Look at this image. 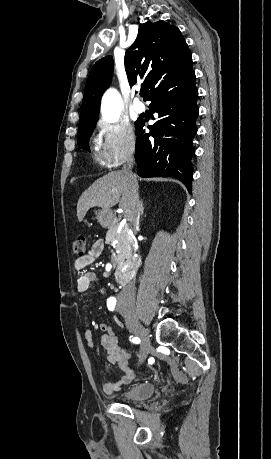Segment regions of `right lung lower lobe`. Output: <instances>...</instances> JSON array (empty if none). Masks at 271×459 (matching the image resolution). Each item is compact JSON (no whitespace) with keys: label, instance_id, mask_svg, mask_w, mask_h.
<instances>
[{"label":"right lung lower lobe","instance_id":"1","mask_svg":"<svg viewBox=\"0 0 271 459\" xmlns=\"http://www.w3.org/2000/svg\"><path fill=\"white\" fill-rule=\"evenodd\" d=\"M192 70L179 78H171L148 98L150 110L157 112L159 119L150 132L145 133L144 120L136 127L137 141L135 159L141 177H174L191 191L193 167L191 158L195 154L193 138L197 133L196 105L198 90ZM152 136V139L149 137Z\"/></svg>","mask_w":271,"mask_h":459}]
</instances>
